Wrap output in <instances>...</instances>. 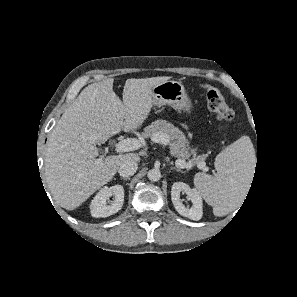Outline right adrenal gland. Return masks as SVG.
<instances>
[{
    "label": "right adrenal gland",
    "instance_id": "2a0ac1e0",
    "mask_svg": "<svg viewBox=\"0 0 297 297\" xmlns=\"http://www.w3.org/2000/svg\"><path fill=\"white\" fill-rule=\"evenodd\" d=\"M121 179L125 180V181H129L130 178L129 177H121Z\"/></svg>",
    "mask_w": 297,
    "mask_h": 297
}]
</instances>
